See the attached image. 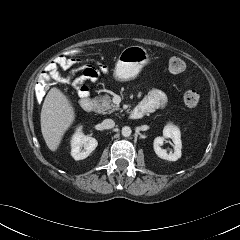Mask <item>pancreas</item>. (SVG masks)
<instances>
[{"label": "pancreas", "instance_id": "obj_1", "mask_svg": "<svg viewBox=\"0 0 240 240\" xmlns=\"http://www.w3.org/2000/svg\"><path fill=\"white\" fill-rule=\"evenodd\" d=\"M96 110L101 114L113 113L114 111L119 110V106L113 104L111 98L106 96H101L96 98Z\"/></svg>", "mask_w": 240, "mask_h": 240}]
</instances>
